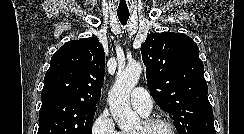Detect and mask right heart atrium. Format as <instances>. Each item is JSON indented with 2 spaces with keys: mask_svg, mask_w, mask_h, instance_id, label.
<instances>
[{
  "mask_svg": "<svg viewBox=\"0 0 244 134\" xmlns=\"http://www.w3.org/2000/svg\"><path fill=\"white\" fill-rule=\"evenodd\" d=\"M91 134H121L111 114L104 110L93 121Z\"/></svg>",
  "mask_w": 244,
  "mask_h": 134,
  "instance_id": "1",
  "label": "right heart atrium"
}]
</instances>
